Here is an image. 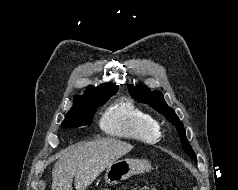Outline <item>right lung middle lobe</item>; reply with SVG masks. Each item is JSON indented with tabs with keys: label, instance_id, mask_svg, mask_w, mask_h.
<instances>
[{
	"label": "right lung middle lobe",
	"instance_id": "dd1d6c3e",
	"mask_svg": "<svg viewBox=\"0 0 238 190\" xmlns=\"http://www.w3.org/2000/svg\"><path fill=\"white\" fill-rule=\"evenodd\" d=\"M115 93L116 92H112L94 96L84 100L82 106L71 108L62 122V126L76 128L84 125H90L92 123L93 115L96 112V109L102 106L108 100V98Z\"/></svg>",
	"mask_w": 238,
	"mask_h": 190
}]
</instances>
